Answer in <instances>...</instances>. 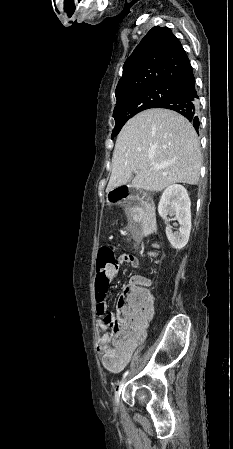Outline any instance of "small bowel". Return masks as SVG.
<instances>
[{
    "instance_id": "small-bowel-1",
    "label": "small bowel",
    "mask_w": 233,
    "mask_h": 449,
    "mask_svg": "<svg viewBox=\"0 0 233 449\" xmlns=\"http://www.w3.org/2000/svg\"><path fill=\"white\" fill-rule=\"evenodd\" d=\"M122 264H125V265H128V266L132 267V268H135L138 265V260L132 254L122 253L119 256L117 266L114 267V268H109L108 274H109V279L110 280H113L117 276L118 271L120 269V266ZM134 280L135 279H132V281H134ZM97 313H98V315L100 317L104 318V321L100 322V327L103 330V332L99 335L98 340H97V350H98V352L100 354L104 355L106 353V351H107V347L112 342H116V339L113 338L111 336V334L107 331L108 323L105 320V316L108 314V305H107L106 299L103 301L102 304L97 306ZM150 315H151V310L146 314L145 318H148ZM145 321H146L145 319L142 321V324L139 327L136 335L132 339H130L129 341H127V342L122 344V350H121L120 353H117L116 350H115V352L117 354L121 355L123 357V359H124V365L121 368H123L127 364L129 359L132 357V355H133L137 345L144 338V327L146 325Z\"/></svg>"
}]
</instances>
